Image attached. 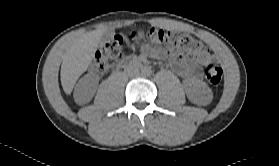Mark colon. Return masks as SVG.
I'll use <instances>...</instances> for the list:
<instances>
[{
	"mask_svg": "<svg viewBox=\"0 0 279 166\" xmlns=\"http://www.w3.org/2000/svg\"><path fill=\"white\" fill-rule=\"evenodd\" d=\"M127 37L135 41L148 43L156 53H162L161 49H164L177 57L204 51L202 43L187 33L151 28L146 31L133 30ZM123 43L124 39L121 36H114L105 40L94 55L92 70L103 74L113 68L122 57ZM222 75V68L218 64L209 63L204 68L206 80L213 85L220 83Z\"/></svg>",
	"mask_w": 279,
	"mask_h": 166,
	"instance_id": "5ec220e1",
	"label": "colon"
}]
</instances>
